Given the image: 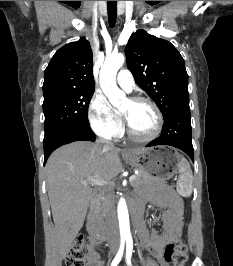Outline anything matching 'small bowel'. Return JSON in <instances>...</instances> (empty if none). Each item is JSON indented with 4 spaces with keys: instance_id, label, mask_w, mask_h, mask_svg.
<instances>
[{
    "instance_id": "obj_1",
    "label": "small bowel",
    "mask_w": 233,
    "mask_h": 266,
    "mask_svg": "<svg viewBox=\"0 0 233 266\" xmlns=\"http://www.w3.org/2000/svg\"><path fill=\"white\" fill-rule=\"evenodd\" d=\"M147 199L141 198L137 205L142 212L143 204ZM151 201L163 209V227L159 232L156 229H148L142 217L135 222L140 245L146 247L149 252L166 266L163 261V251L166 245L173 243L181 234L183 227V203L182 200L168 187H163L151 197ZM100 242L90 239L88 243L87 266H103L97 252Z\"/></svg>"
}]
</instances>
